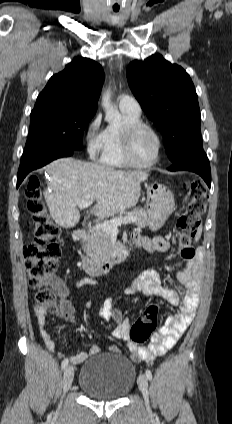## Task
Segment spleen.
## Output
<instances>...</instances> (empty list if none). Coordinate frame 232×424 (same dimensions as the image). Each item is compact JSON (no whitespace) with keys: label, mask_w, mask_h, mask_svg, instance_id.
I'll return each instance as SVG.
<instances>
[{"label":"spleen","mask_w":232,"mask_h":424,"mask_svg":"<svg viewBox=\"0 0 232 424\" xmlns=\"http://www.w3.org/2000/svg\"><path fill=\"white\" fill-rule=\"evenodd\" d=\"M201 233H202V226H200V227L198 228V230H197V235H196V237H195V241H196V242L199 240V238H200V236H201Z\"/></svg>","instance_id":"spleen-1"}]
</instances>
